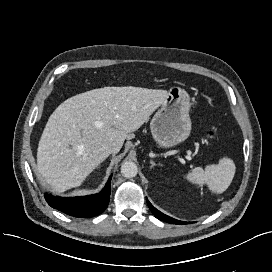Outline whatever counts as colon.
I'll use <instances>...</instances> for the list:
<instances>
[{
	"label": "colon",
	"instance_id": "colon-1",
	"mask_svg": "<svg viewBox=\"0 0 272 272\" xmlns=\"http://www.w3.org/2000/svg\"><path fill=\"white\" fill-rule=\"evenodd\" d=\"M205 137L207 140L211 141L215 138V130L214 129H208L205 133Z\"/></svg>",
	"mask_w": 272,
	"mask_h": 272
}]
</instances>
